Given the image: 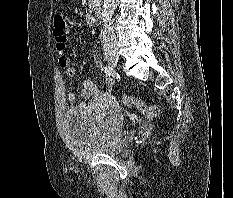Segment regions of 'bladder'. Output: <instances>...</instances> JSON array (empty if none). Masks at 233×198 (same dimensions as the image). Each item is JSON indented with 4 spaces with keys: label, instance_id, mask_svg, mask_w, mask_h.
Listing matches in <instances>:
<instances>
[{
    "label": "bladder",
    "instance_id": "1",
    "mask_svg": "<svg viewBox=\"0 0 233 198\" xmlns=\"http://www.w3.org/2000/svg\"><path fill=\"white\" fill-rule=\"evenodd\" d=\"M123 119V110L117 105L95 114L67 111L64 118L67 141L80 153L117 155L131 139L123 130Z\"/></svg>",
    "mask_w": 233,
    "mask_h": 198
}]
</instances>
